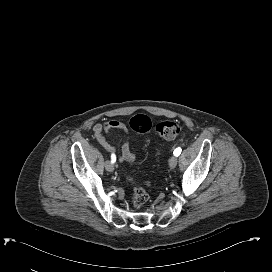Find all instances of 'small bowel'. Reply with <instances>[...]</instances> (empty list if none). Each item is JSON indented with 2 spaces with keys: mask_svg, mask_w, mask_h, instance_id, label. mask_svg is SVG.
Instances as JSON below:
<instances>
[{
  "mask_svg": "<svg viewBox=\"0 0 272 272\" xmlns=\"http://www.w3.org/2000/svg\"><path fill=\"white\" fill-rule=\"evenodd\" d=\"M113 130H119L124 133L126 137L129 136V130L127 126L119 120H109L102 123H98L94 126V136L97 142L108 152L114 154L115 149L108 143L104 134H108ZM118 160L121 163H132L135 160L134 154L129 148V142L126 140L121 147V152L118 156Z\"/></svg>",
  "mask_w": 272,
  "mask_h": 272,
  "instance_id": "obj_1",
  "label": "small bowel"
}]
</instances>
